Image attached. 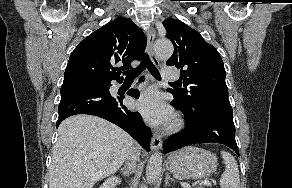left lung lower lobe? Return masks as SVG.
Returning <instances> with one entry per match:
<instances>
[{
	"label": "left lung lower lobe",
	"instance_id": "obj_1",
	"mask_svg": "<svg viewBox=\"0 0 292 188\" xmlns=\"http://www.w3.org/2000/svg\"><path fill=\"white\" fill-rule=\"evenodd\" d=\"M172 105L183 112L187 125L185 130L164 141L165 154L196 143H221L239 154L231 106H212L193 117L175 101Z\"/></svg>",
	"mask_w": 292,
	"mask_h": 188
}]
</instances>
